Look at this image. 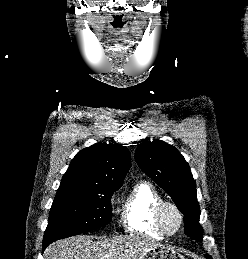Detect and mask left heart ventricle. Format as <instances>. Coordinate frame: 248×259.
<instances>
[{
	"label": "left heart ventricle",
	"mask_w": 248,
	"mask_h": 259,
	"mask_svg": "<svg viewBox=\"0 0 248 259\" xmlns=\"http://www.w3.org/2000/svg\"><path fill=\"white\" fill-rule=\"evenodd\" d=\"M164 222L169 231H175L177 229L179 224V218L173 209L167 208L165 210Z\"/></svg>",
	"instance_id": "1"
}]
</instances>
